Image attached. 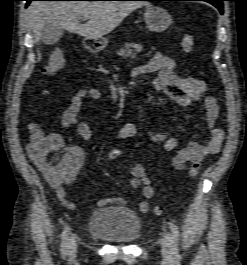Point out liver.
I'll use <instances>...</instances> for the list:
<instances>
[{
  "label": "liver",
  "mask_w": 247,
  "mask_h": 265,
  "mask_svg": "<svg viewBox=\"0 0 247 265\" xmlns=\"http://www.w3.org/2000/svg\"><path fill=\"white\" fill-rule=\"evenodd\" d=\"M145 5L149 4L141 1H33L27 9V19L36 42L47 24L97 40L112 32L132 11ZM83 16H88L89 21L80 24Z\"/></svg>",
  "instance_id": "6515ba94"
}]
</instances>
